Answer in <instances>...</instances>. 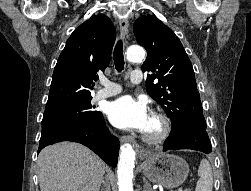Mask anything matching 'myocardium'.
<instances>
[{
	"instance_id": "obj_1",
	"label": "myocardium",
	"mask_w": 251,
	"mask_h": 191,
	"mask_svg": "<svg viewBox=\"0 0 251 191\" xmlns=\"http://www.w3.org/2000/svg\"><path fill=\"white\" fill-rule=\"evenodd\" d=\"M150 120L155 123V129L148 131L145 129L142 138L148 144H159L166 140L170 134L171 125L169 119L160 113H153Z\"/></svg>"
}]
</instances>
